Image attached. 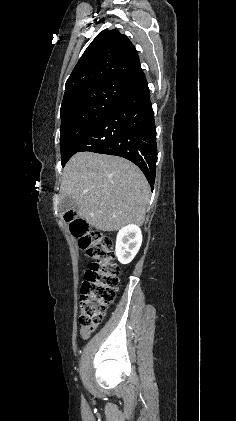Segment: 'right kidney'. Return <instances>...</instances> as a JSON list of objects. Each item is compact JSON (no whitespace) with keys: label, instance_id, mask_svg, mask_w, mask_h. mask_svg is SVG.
<instances>
[{"label":"right kidney","instance_id":"obj_1","mask_svg":"<svg viewBox=\"0 0 236 421\" xmlns=\"http://www.w3.org/2000/svg\"><path fill=\"white\" fill-rule=\"evenodd\" d=\"M142 245V233L136 225H127L119 231L116 239V257L122 265L133 261Z\"/></svg>","mask_w":236,"mask_h":421}]
</instances>
